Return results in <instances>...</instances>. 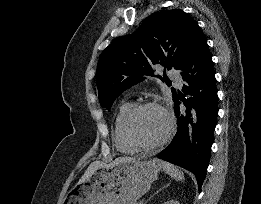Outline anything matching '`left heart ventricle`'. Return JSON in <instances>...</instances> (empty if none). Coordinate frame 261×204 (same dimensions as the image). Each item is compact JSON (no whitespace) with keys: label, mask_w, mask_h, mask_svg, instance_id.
Segmentation results:
<instances>
[{"label":"left heart ventricle","mask_w":261,"mask_h":204,"mask_svg":"<svg viewBox=\"0 0 261 204\" xmlns=\"http://www.w3.org/2000/svg\"><path fill=\"white\" fill-rule=\"evenodd\" d=\"M167 129L165 115L157 108L141 111L131 124L133 136L144 144H152L163 137Z\"/></svg>","instance_id":"1"}]
</instances>
